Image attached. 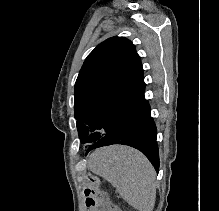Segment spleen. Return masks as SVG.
<instances>
[{"label":"spleen","instance_id":"1","mask_svg":"<svg viewBox=\"0 0 219 211\" xmlns=\"http://www.w3.org/2000/svg\"><path fill=\"white\" fill-rule=\"evenodd\" d=\"M88 167L112 183L132 207L153 211L156 173L144 153L129 145H107L91 153Z\"/></svg>","mask_w":219,"mask_h":211}]
</instances>
